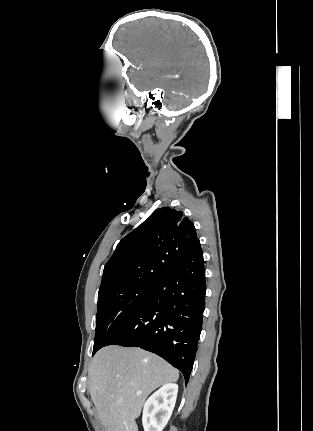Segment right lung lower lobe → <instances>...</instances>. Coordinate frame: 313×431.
Wrapping results in <instances>:
<instances>
[{"label":"right lung lower lobe","instance_id":"1","mask_svg":"<svg viewBox=\"0 0 313 431\" xmlns=\"http://www.w3.org/2000/svg\"><path fill=\"white\" fill-rule=\"evenodd\" d=\"M200 241L108 338L104 346L140 347L179 369L188 383L205 308V269Z\"/></svg>","mask_w":313,"mask_h":431}]
</instances>
